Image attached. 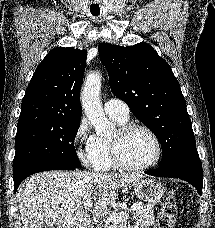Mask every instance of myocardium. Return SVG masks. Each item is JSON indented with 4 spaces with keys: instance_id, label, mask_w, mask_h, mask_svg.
Listing matches in <instances>:
<instances>
[{
    "instance_id": "f54148a6",
    "label": "myocardium",
    "mask_w": 215,
    "mask_h": 228,
    "mask_svg": "<svg viewBox=\"0 0 215 228\" xmlns=\"http://www.w3.org/2000/svg\"><path fill=\"white\" fill-rule=\"evenodd\" d=\"M136 128L142 129L148 133V135L153 141L155 151L152 158L148 160L146 163L137 166H132L127 164L122 159L120 154V142L124 136H126L131 130ZM110 152L115 167L124 171L137 172L145 170L151 167L152 165L156 164L160 160L162 148L159 137L151 127L140 122H127L121 125L116 131L115 135L110 139Z\"/></svg>"
}]
</instances>
